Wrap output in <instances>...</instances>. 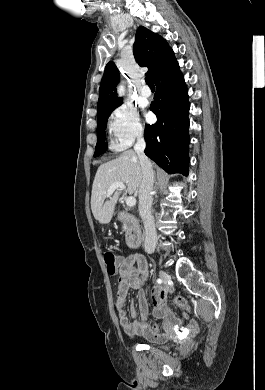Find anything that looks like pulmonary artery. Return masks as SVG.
<instances>
[{
    "label": "pulmonary artery",
    "instance_id": "1",
    "mask_svg": "<svg viewBox=\"0 0 265 390\" xmlns=\"http://www.w3.org/2000/svg\"><path fill=\"white\" fill-rule=\"evenodd\" d=\"M139 93L142 97H149L151 95V91L150 89L145 85V84H142L141 87H140V90H139Z\"/></svg>",
    "mask_w": 265,
    "mask_h": 390
}]
</instances>
